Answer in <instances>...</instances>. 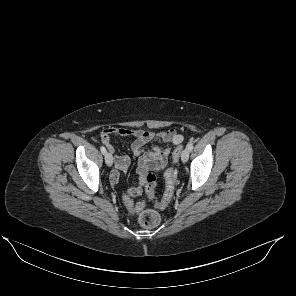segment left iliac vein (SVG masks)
Here are the masks:
<instances>
[{"label":"left iliac vein","mask_w":296,"mask_h":296,"mask_svg":"<svg viewBox=\"0 0 296 296\" xmlns=\"http://www.w3.org/2000/svg\"><path fill=\"white\" fill-rule=\"evenodd\" d=\"M189 152L190 151L188 150V148H186V149L183 150V152L181 154V160H182L183 163H185V162L188 161V159H189Z\"/></svg>","instance_id":"obj_1"}]
</instances>
